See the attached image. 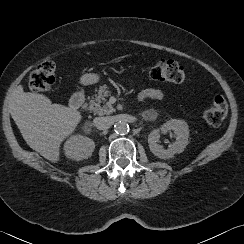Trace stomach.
<instances>
[{
    "mask_svg": "<svg viewBox=\"0 0 244 244\" xmlns=\"http://www.w3.org/2000/svg\"><path fill=\"white\" fill-rule=\"evenodd\" d=\"M98 80L99 76L97 74L90 73L82 76L81 83L84 85H90L98 82Z\"/></svg>",
    "mask_w": 244,
    "mask_h": 244,
    "instance_id": "obj_1",
    "label": "stomach"
}]
</instances>
